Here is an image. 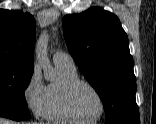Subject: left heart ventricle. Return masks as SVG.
<instances>
[{"label": "left heart ventricle", "instance_id": "1", "mask_svg": "<svg viewBox=\"0 0 156 124\" xmlns=\"http://www.w3.org/2000/svg\"><path fill=\"white\" fill-rule=\"evenodd\" d=\"M74 108L86 120H91L100 113V101L97 95L88 87H79L73 97Z\"/></svg>", "mask_w": 156, "mask_h": 124}]
</instances>
